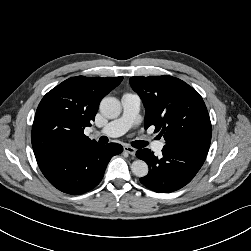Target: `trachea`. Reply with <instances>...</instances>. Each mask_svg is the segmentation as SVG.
I'll return each mask as SVG.
<instances>
[{
	"instance_id": "obj_1",
	"label": "trachea",
	"mask_w": 251,
	"mask_h": 251,
	"mask_svg": "<svg viewBox=\"0 0 251 251\" xmlns=\"http://www.w3.org/2000/svg\"><path fill=\"white\" fill-rule=\"evenodd\" d=\"M99 142L100 143H107L108 142V138L107 137H105V136H102V137H100V139H99ZM132 145L135 147V148H143V147H145L146 145H147V142H145V141H134L133 143H132Z\"/></svg>"
}]
</instances>
